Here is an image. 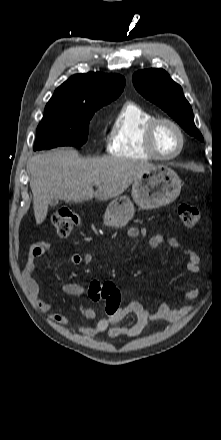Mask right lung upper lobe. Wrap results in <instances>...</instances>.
Segmentation results:
<instances>
[{
	"label": "right lung upper lobe",
	"mask_w": 221,
	"mask_h": 440,
	"mask_svg": "<svg viewBox=\"0 0 221 440\" xmlns=\"http://www.w3.org/2000/svg\"><path fill=\"white\" fill-rule=\"evenodd\" d=\"M124 86L125 78L118 74H77L55 90L48 104L103 106L115 100Z\"/></svg>",
	"instance_id": "cb5924a9"
}]
</instances>
